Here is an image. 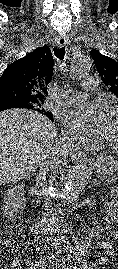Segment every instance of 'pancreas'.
<instances>
[{
    "mask_svg": "<svg viewBox=\"0 0 118 269\" xmlns=\"http://www.w3.org/2000/svg\"><path fill=\"white\" fill-rule=\"evenodd\" d=\"M116 179L114 177H99L98 181L100 184H105L106 182H114Z\"/></svg>",
    "mask_w": 118,
    "mask_h": 269,
    "instance_id": "cf45deb5",
    "label": "pancreas"
}]
</instances>
